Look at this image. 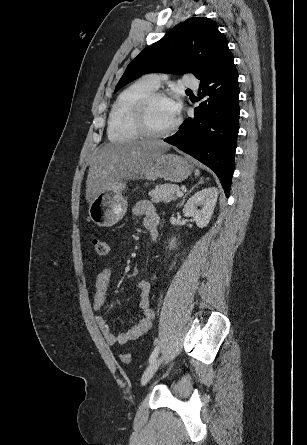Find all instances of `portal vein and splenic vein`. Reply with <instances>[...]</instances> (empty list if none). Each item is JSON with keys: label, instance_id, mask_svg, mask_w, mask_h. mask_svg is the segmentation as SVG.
I'll return each instance as SVG.
<instances>
[{"label": "portal vein and splenic vein", "instance_id": "portal-vein-and-splenic-vein-1", "mask_svg": "<svg viewBox=\"0 0 307 445\" xmlns=\"http://www.w3.org/2000/svg\"><path fill=\"white\" fill-rule=\"evenodd\" d=\"M183 192H177V196H182Z\"/></svg>", "mask_w": 307, "mask_h": 445}]
</instances>
